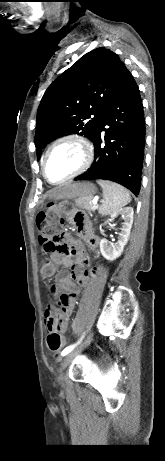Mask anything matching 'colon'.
<instances>
[{
	"label": "colon",
	"instance_id": "colon-1",
	"mask_svg": "<svg viewBox=\"0 0 165 461\" xmlns=\"http://www.w3.org/2000/svg\"><path fill=\"white\" fill-rule=\"evenodd\" d=\"M63 209L56 204H51L45 212H40L36 218V225L40 232L39 241L45 252L69 251L64 235L60 232L63 224V213L71 209L69 204ZM55 273V267L50 260H44L41 267L43 279H50ZM48 347L51 351H57L67 346V341L53 328L47 337Z\"/></svg>",
	"mask_w": 165,
	"mask_h": 461
}]
</instances>
